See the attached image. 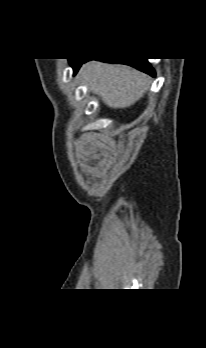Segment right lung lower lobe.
I'll return each mask as SVG.
<instances>
[{
    "label": "right lung lower lobe",
    "instance_id": "right-lung-lower-lobe-1",
    "mask_svg": "<svg viewBox=\"0 0 206 348\" xmlns=\"http://www.w3.org/2000/svg\"><path fill=\"white\" fill-rule=\"evenodd\" d=\"M69 60H70L71 66L74 69V74H75L83 62H86L91 59H69ZM97 60H101V61H105L109 63L127 64L151 76H155V71L150 66L147 59L133 58V59H97Z\"/></svg>",
    "mask_w": 206,
    "mask_h": 348
}]
</instances>
